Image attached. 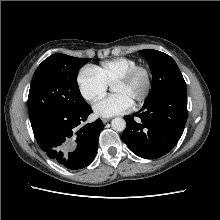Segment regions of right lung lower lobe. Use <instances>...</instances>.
Here are the masks:
<instances>
[{
	"instance_id": "right-lung-lower-lobe-1",
	"label": "right lung lower lobe",
	"mask_w": 220,
	"mask_h": 220,
	"mask_svg": "<svg viewBox=\"0 0 220 220\" xmlns=\"http://www.w3.org/2000/svg\"><path fill=\"white\" fill-rule=\"evenodd\" d=\"M91 113L88 105L78 112L54 110L31 120L38 145L49 158L68 169L88 166L96 156L103 128L100 119L79 127Z\"/></svg>"
}]
</instances>
